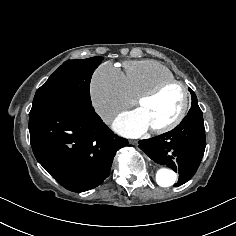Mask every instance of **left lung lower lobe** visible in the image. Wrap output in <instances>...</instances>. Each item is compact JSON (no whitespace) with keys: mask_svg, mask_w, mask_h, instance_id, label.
<instances>
[{"mask_svg":"<svg viewBox=\"0 0 236 236\" xmlns=\"http://www.w3.org/2000/svg\"><path fill=\"white\" fill-rule=\"evenodd\" d=\"M205 146L202 115H188L170 132L139 141L140 149L152 160L179 173L177 186L186 183L196 173Z\"/></svg>","mask_w":236,"mask_h":236,"instance_id":"obj_1","label":"left lung lower lobe"}]
</instances>
